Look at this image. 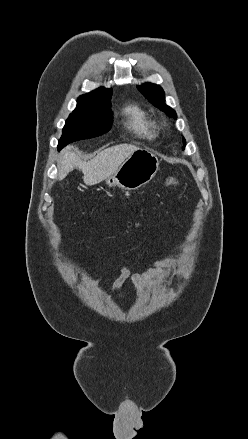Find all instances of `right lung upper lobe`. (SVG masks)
Listing matches in <instances>:
<instances>
[{
    "instance_id": "1",
    "label": "right lung upper lobe",
    "mask_w": 248,
    "mask_h": 439,
    "mask_svg": "<svg viewBox=\"0 0 248 439\" xmlns=\"http://www.w3.org/2000/svg\"><path fill=\"white\" fill-rule=\"evenodd\" d=\"M112 89H106L100 87L88 94L81 95L77 103L80 105H93L110 108L111 104L109 100L111 99Z\"/></svg>"
}]
</instances>
